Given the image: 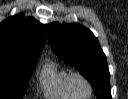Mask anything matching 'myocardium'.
<instances>
[{
  "label": "myocardium",
  "mask_w": 128,
  "mask_h": 99,
  "mask_svg": "<svg viewBox=\"0 0 128 99\" xmlns=\"http://www.w3.org/2000/svg\"><path fill=\"white\" fill-rule=\"evenodd\" d=\"M76 81H81L87 86V88H88V95L87 96L81 97L76 93V90H75V82ZM69 88L76 98H81V99L82 98H89L92 95L91 83L89 82V80L84 75H82L81 73H78V72L70 73V75H69Z\"/></svg>",
  "instance_id": "1"
}]
</instances>
